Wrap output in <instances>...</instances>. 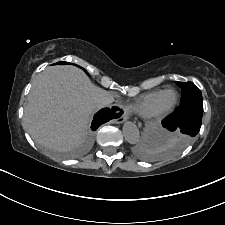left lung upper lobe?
<instances>
[{
	"label": "left lung upper lobe",
	"mask_w": 225,
	"mask_h": 225,
	"mask_svg": "<svg viewBox=\"0 0 225 225\" xmlns=\"http://www.w3.org/2000/svg\"><path fill=\"white\" fill-rule=\"evenodd\" d=\"M177 85L182 89V99L178 108H183L185 106L193 104H202L203 99L201 91L192 82H177ZM193 138L186 137L179 132L178 141L179 145H185L189 143Z\"/></svg>",
	"instance_id": "5c2ea615"
}]
</instances>
